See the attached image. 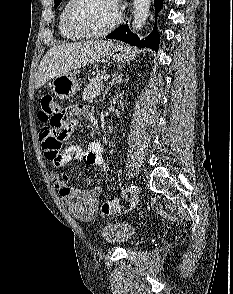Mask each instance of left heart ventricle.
Wrapping results in <instances>:
<instances>
[{"label": "left heart ventricle", "mask_w": 233, "mask_h": 294, "mask_svg": "<svg viewBox=\"0 0 233 294\" xmlns=\"http://www.w3.org/2000/svg\"><path fill=\"white\" fill-rule=\"evenodd\" d=\"M117 9L112 0H83L76 8L75 23L88 32L107 27L115 18Z\"/></svg>", "instance_id": "obj_1"}]
</instances>
